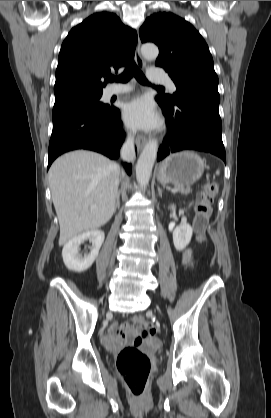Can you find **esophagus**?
<instances>
[{
  "mask_svg": "<svg viewBox=\"0 0 271 418\" xmlns=\"http://www.w3.org/2000/svg\"><path fill=\"white\" fill-rule=\"evenodd\" d=\"M140 45H141V42H140V39H139V36H138V40H137V44H136V48H135V62H136L137 66L139 68H143L145 66V61L142 58L141 53H140ZM146 141L147 140H146L145 136H143V135H138L137 136L136 145H137V149L139 151L144 147V145L146 144Z\"/></svg>",
  "mask_w": 271,
  "mask_h": 418,
  "instance_id": "obj_1",
  "label": "esophagus"
}]
</instances>
